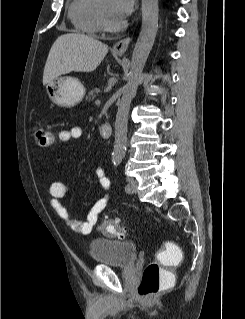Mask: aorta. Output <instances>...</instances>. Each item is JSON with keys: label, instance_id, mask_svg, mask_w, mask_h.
Segmentation results:
<instances>
[{"label": "aorta", "instance_id": "aorta-1", "mask_svg": "<svg viewBox=\"0 0 245 319\" xmlns=\"http://www.w3.org/2000/svg\"><path fill=\"white\" fill-rule=\"evenodd\" d=\"M158 0H142V26L133 50L128 81L118 106L115 121L114 161H121L126 152L128 115L139 80L152 49L158 29Z\"/></svg>", "mask_w": 245, "mask_h": 319}]
</instances>
